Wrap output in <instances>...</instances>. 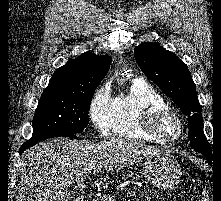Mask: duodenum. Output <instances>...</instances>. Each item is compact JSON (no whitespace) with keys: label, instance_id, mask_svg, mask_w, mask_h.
I'll use <instances>...</instances> for the list:
<instances>
[{"label":"duodenum","instance_id":"duodenum-1","mask_svg":"<svg viewBox=\"0 0 221 201\" xmlns=\"http://www.w3.org/2000/svg\"><path fill=\"white\" fill-rule=\"evenodd\" d=\"M75 201H85V200H84V198L79 197V198H77Z\"/></svg>","mask_w":221,"mask_h":201}]
</instances>
